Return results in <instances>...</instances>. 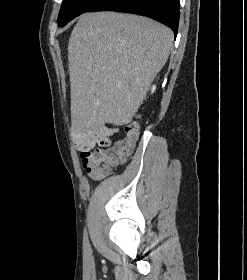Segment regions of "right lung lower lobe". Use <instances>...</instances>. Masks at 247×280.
<instances>
[{"label":"right lung lower lobe","mask_w":247,"mask_h":280,"mask_svg":"<svg viewBox=\"0 0 247 280\" xmlns=\"http://www.w3.org/2000/svg\"><path fill=\"white\" fill-rule=\"evenodd\" d=\"M179 0H101L90 11H117L148 16L169 26L176 37Z\"/></svg>","instance_id":"98d812e1"}]
</instances>
